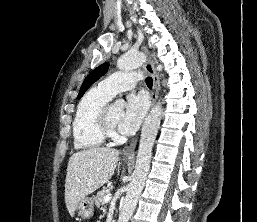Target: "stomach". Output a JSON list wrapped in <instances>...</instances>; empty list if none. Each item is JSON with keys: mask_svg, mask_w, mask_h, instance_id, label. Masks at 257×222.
Wrapping results in <instances>:
<instances>
[{"mask_svg": "<svg viewBox=\"0 0 257 222\" xmlns=\"http://www.w3.org/2000/svg\"><path fill=\"white\" fill-rule=\"evenodd\" d=\"M125 162H129V159H123ZM77 214L82 219H89L93 215L94 211V201L91 197L82 198L76 205Z\"/></svg>", "mask_w": 257, "mask_h": 222, "instance_id": "obj_1", "label": "stomach"}]
</instances>
